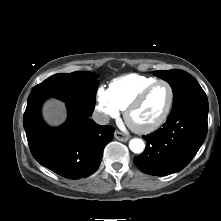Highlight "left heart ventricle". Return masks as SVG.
I'll list each match as a JSON object with an SVG mask.
<instances>
[{
    "label": "left heart ventricle",
    "instance_id": "left-heart-ventricle-1",
    "mask_svg": "<svg viewBox=\"0 0 221 221\" xmlns=\"http://www.w3.org/2000/svg\"><path fill=\"white\" fill-rule=\"evenodd\" d=\"M169 89L166 85L156 86L144 102L133 112L132 122L145 126L156 122L164 113L169 101Z\"/></svg>",
    "mask_w": 221,
    "mask_h": 221
}]
</instances>
